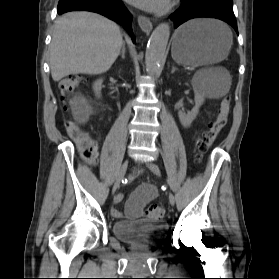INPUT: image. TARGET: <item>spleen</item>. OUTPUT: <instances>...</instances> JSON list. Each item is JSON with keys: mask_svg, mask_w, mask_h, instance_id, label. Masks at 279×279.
<instances>
[{"mask_svg": "<svg viewBox=\"0 0 279 279\" xmlns=\"http://www.w3.org/2000/svg\"><path fill=\"white\" fill-rule=\"evenodd\" d=\"M221 26L225 32L231 33L226 25L221 24ZM210 73L211 70H201L195 75L194 79L198 84L200 92L209 97L219 98L224 96L231 85L230 77L227 76L223 81H217L211 77Z\"/></svg>", "mask_w": 279, "mask_h": 279, "instance_id": "1", "label": "spleen"}]
</instances>
